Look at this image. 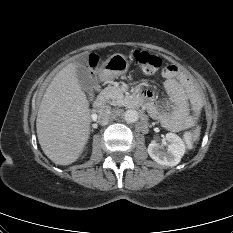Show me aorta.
<instances>
[{
	"mask_svg": "<svg viewBox=\"0 0 233 233\" xmlns=\"http://www.w3.org/2000/svg\"><path fill=\"white\" fill-rule=\"evenodd\" d=\"M124 120L128 123H134L138 120V112L136 110L133 109H129L127 111L124 112L123 114Z\"/></svg>",
	"mask_w": 233,
	"mask_h": 233,
	"instance_id": "aorta-1",
	"label": "aorta"
}]
</instances>
